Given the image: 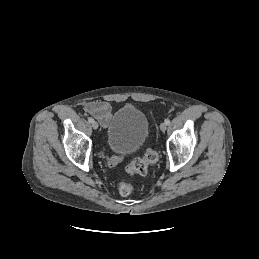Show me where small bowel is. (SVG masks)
<instances>
[{"instance_id": "obj_1", "label": "small bowel", "mask_w": 259, "mask_h": 259, "mask_svg": "<svg viewBox=\"0 0 259 259\" xmlns=\"http://www.w3.org/2000/svg\"><path fill=\"white\" fill-rule=\"evenodd\" d=\"M86 110L92 114L97 120H99L103 125H106L112 115V106L106 101H91L85 106ZM118 158H112L110 160L111 165H115Z\"/></svg>"}]
</instances>
